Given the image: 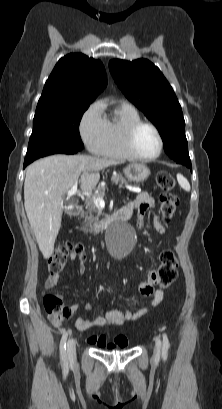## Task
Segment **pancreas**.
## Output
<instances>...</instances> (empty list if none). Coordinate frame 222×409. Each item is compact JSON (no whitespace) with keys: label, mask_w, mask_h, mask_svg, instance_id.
<instances>
[{"label":"pancreas","mask_w":222,"mask_h":409,"mask_svg":"<svg viewBox=\"0 0 222 409\" xmlns=\"http://www.w3.org/2000/svg\"><path fill=\"white\" fill-rule=\"evenodd\" d=\"M112 181L117 183V184L126 182L125 178L120 174L114 175L112 177ZM104 195H105V186H101V185L98 186L96 197L103 198ZM85 209H86V211H83L82 215H81L83 217V219H84L83 224L85 226H89L90 227L89 231L93 232L94 231L93 230V223H94V220H95L94 213L98 212V207L95 205L93 198H89V199L86 200Z\"/></svg>","instance_id":"obj_1"}]
</instances>
